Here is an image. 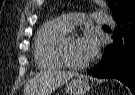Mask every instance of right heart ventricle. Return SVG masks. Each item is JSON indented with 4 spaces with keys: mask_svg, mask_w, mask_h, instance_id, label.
Here are the masks:
<instances>
[{
    "mask_svg": "<svg viewBox=\"0 0 135 95\" xmlns=\"http://www.w3.org/2000/svg\"><path fill=\"white\" fill-rule=\"evenodd\" d=\"M70 30L60 18L51 19L40 27L34 41V57L39 68L58 69L64 66L58 49Z\"/></svg>",
    "mask_w": 135,
    "mask_h": 95,
    "instance_id": "right-heart-ventricle-1",
    "label": "right heart ventricle"
}]
</instances>
